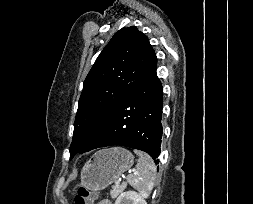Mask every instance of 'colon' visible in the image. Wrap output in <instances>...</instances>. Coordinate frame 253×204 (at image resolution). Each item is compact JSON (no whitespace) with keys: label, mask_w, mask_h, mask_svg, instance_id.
I'll return each mask as SVG.
<instances>
[{"label":"colon","mask_w":253,"mask_h":204,"mask_svg":"<svg viewBox=\"0 0 253 204\" xmlns=\"http://www.w3.org/2000/svg\"><path fill=\"white\" fill-rule=\"evenodd\" d=\"M97 195L86 187H80L74 199V204H94Z\"/></svg>","instance_id":"obj_1"}]
</instances>
